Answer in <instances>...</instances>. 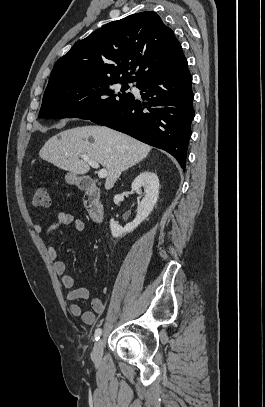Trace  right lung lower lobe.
<instances>
[{
    "label": "right lung lower lobe",
    "instance_id": "1",
    "mask_svg": "<svg viewBox=\"0 0 265 407\" xmlns=\"http://www.w3.org/2000/svg\"><path fill=\"white\" fill-rule=\"evenodd\" d=\"M191 84L192 76L183 54L168 68L136 85L144 92L142 100L133 98L91 121L167 151L185 170L195 116Z\"/></svg>",
    "mask_w": 265,
    "mask_h": 407
}]
</instances>
